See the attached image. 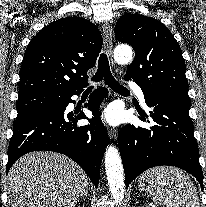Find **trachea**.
<instances>
[{"instance_id": "trachea-1", "label": "trachea", "mask_w": 206, "mask_h": 207, "mask_svg": "<svg viewBox=\"0 0 206 207\" xmlns=\"http://www.w3.org/2000/svg\"><path fill=\"white\" fill-rule=\"evenodd\" d=\"M104 79L105 83L114 91L118 93H129V91L120 85L118 81L113 77L111 71H110V66H109V61L106 56V54L102 53L99 57L98 60V70L96 74L92 77V80L94 82H100ZM93 85L89 86L86 91H91L93 89Z\"/></svg>"}]
</instances>
